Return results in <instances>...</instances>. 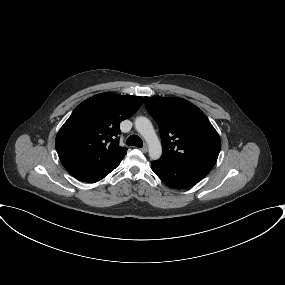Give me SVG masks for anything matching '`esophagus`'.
<instances>
[{"instance_id":"34e87169","label":"esophagus","mask_w":285,"mask_h":285,"mask_svg":"<svg viewBox=\"0 0 285 285\" xmlns=\"http://www.w3.org/2000/svg\"><path fill=\"white\" fill-rule=\"evenodd\" d=\"M140 150H141L143 153H146V152L148 151L147 145H144Z\"/></svg>"}]
</instances>
